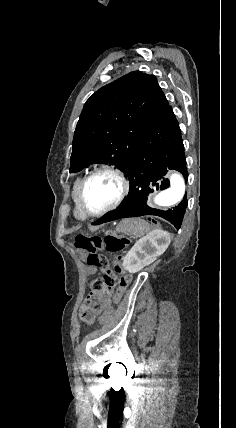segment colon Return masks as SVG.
Here are the masks:
<instances>
[{
    "mask_svg": "<svg viewBox=\"0 0 236 428\" xmlns=\"http://www.w3.org/2000/svg\"><path fill=\"white\" fill-rule=\"evenodd\" d=\"M128 243L129 239L125 236L110 235L105 239L84 235L76 236L75 247L85 252L86 261L90 266L100 269L103 273L102 277L92 279L89 283L91 293L82 306V318L90 320L98 317L99 322L104 323L112 316L114 306L101 305L98 301L99 295L111 294L116 289L113 295V304L120 303L131 282V275L122 269L120 265L121 256L114 261V267L112 268L108 259L100 254L99 251L105 248L109 252H121L127 247Z\"/></svg>",
    "mask_w": 236,
    "mask_h": 428,
    "instance_id": "colon-1",
    "label": "colon"
}]
</instances>
